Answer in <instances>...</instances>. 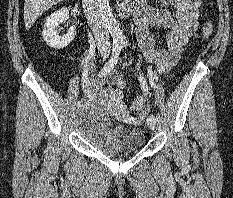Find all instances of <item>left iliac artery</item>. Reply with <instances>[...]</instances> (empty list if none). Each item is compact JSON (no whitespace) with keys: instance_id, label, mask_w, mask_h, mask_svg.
I'll return each instance as SVG.
<instances>
[{"instance_id":"1","label":"left iliac artery","mask_w":233,"mask_h":198,"mask_svg":"<svg viewBox=\"0 0 233 198\" xmlns=\"http://www.w3.org/2000/svg\"><path fill=\"white\" fill-rule=\"evenodd\" d=\"M122 44H123V46H127V45H128V44H127V41H123ZM138 79H139V81H140V84H141V87H142L143 92H144L145 94H147V93H148V85H147V82H146L144 76H143L142 74H139V75H138ZM151 79H152V77H151ZM151 84L154 85L153 81H151ZM149 117H150L152 120L156 121V118H155L154 115L151 114Z\"/></svg>"}]
</instances>
